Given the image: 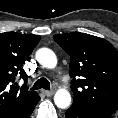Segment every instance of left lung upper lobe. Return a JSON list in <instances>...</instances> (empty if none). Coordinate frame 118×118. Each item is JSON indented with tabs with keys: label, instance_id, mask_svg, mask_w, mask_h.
Returning a JSON list of instances; mask_svg holds the SVG:
<instances>
[{
	"label": "left lung upper lobe",
	"instance_id": "5c2ea615",
	"mask_svg": "<svg viewBox=\"0 0 118 118\" xmlns=\"http://www.w3.org/2000/svg\"><path fill=\"white\" fill-rule=\"evenodd\" d=\"M54 40L71 56L73 105L115 112L118 108V52L105 39L79 32Z\"/></svg>",
	"mask_w": 118,
	"mask_h": 118
}]
</instances>
